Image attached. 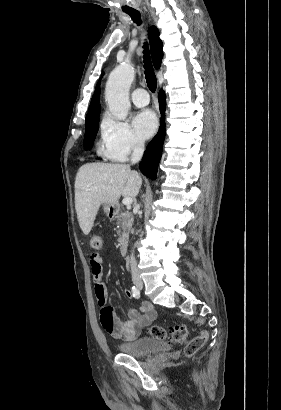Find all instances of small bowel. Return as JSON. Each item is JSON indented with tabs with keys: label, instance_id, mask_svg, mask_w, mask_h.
<instances>
[{
	"label": "small bowel",
	"instance_id": "c3829d8e",
	"mask_svg": "<svg viewBox=\"0 0 281 410\" xmlns=\"http://www.w3.org/2000/svg\"><path fill=\"white\" fill-rule=\"evenodd\" d=\"M102 258L98 254L90 256L91 274L94 282V291L97 299V304L101 308V322L102 312L105 310L111 311V328L105 327V330L114 338L133 341L138 337L140 330L152 323L157 316L155 307L152 304L145 303L140 307L141 314L134 311L130 312V317L125 320H119L113 312V309L108 304L107 287L103 281L102 273ZM123 294L127 298L133 297V292L130 289H125Z\"/></svg>",
	"mask_w": 281,
	"mask_h": 410
}]
</instances>
